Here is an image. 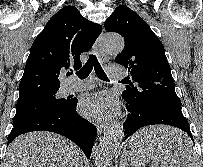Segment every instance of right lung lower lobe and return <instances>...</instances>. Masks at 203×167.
Listing matches in <instances>:
<instances>
[{
  "label": "right lung lower lobe",
  "mask_w": 203,
  "mask_h": 167,
  "mask_svg": "<svg viewBox=\"0 0 203 167\" xmlns=\"http://www.w3.org/2000/svg\"><path fill=\"white\" fill-rule=\"evenodd\" d=\"M77 100L58 112L42 115L13 127L8 144L18 135L31 131H50L63 135L77 144L89 159L96 138L97 129L76 112Z\"/></svg>",
  "instance_id": "right-lung-lower-lobe-1"
}]
</instances>
